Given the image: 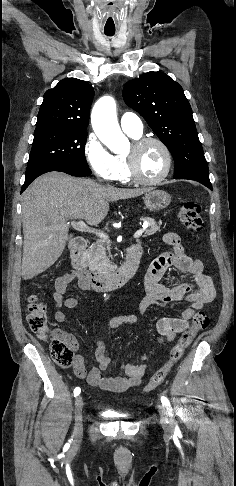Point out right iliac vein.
Returning a JSON list of instances; mask_svg holds the SVG:
<instances>
[{"mask_svg": "<svg viewBox=\"0 0 236 486\" xmlns=\"http://www.w3.org/2000/svg\"><path fill=\"white\" fill-rule=\"evenodd\" d=\"M83 399L81 396H78L75 400V434L77 437H81L83 433V426H82V410H83Z\"/></svg>", "mask_w": 236, "mask_h": 486, "instance_id": "1", "label": "right iliac vein"}]
</instances>
